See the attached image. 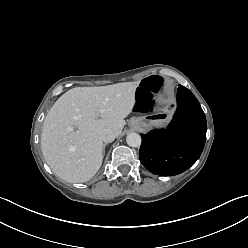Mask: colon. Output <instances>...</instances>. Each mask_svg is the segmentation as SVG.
<instances>
[{
    "label": "colon",
    "instance_id": "obj_1",
    "mask_svg": "<svg viewBox=\"0 0 248 248\" xmlns=\"http://www.w3.org/2000/svg\"><path fill=\"white\" fill-rule=\"evenodd\" d=\"M170 90L171 86L167 80L155 75L149 76L139 84L135 92L136 100L132 102L131 107L139 113L173 111L178 103L173 99Z\"/></svg>",
    "mask_w": 248,
    "mask_h": 248
}]
</instances>
